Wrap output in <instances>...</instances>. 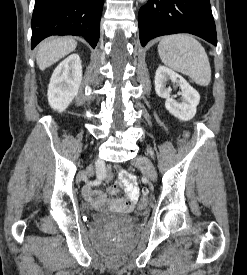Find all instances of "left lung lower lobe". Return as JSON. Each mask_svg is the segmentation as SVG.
Listing matches in <instances>:
<instances>
[{
    "mask_svg": "<svg viewBox=\"0 0 247 275\" xmlns=\"http://www.w3.org/2000/svg\"><path fill=\"white\" fill-rule=\"evenodd\" d=\"M142 46L155 37L190 33L216 45V27L209 0H148L138 14Z\"/></svg>",
    "mask_w": 247,
    "mask_h": 275,
    "instance_id": "left-lung-lower-lobe-1",
    "label": "left lung lower lobe"
}]
</instances>
